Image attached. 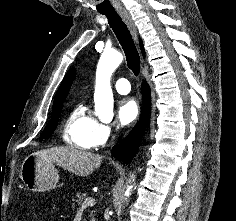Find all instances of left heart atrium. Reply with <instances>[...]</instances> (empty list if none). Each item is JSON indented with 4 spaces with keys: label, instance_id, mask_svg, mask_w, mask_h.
I'll list each match as a JSON object with an SVG mask.
<instances>
[{
    "label": "left heart atrium",
    "instance_id": "39dd6f15",
    "mask_svg": "<svg viewBox=\"0 0 236 221\" xmlns=\"http://www.w3.org/2000/svg\"><path fill=\"white\" fill-rule=\"evenodd\" d=\"M138 115L137 103L132 98H122L118 102L117 118L122 126L133 122Z\"/></svg>",
    "mask_w": 236,
    "mask_h": 221
}]
</instances>
